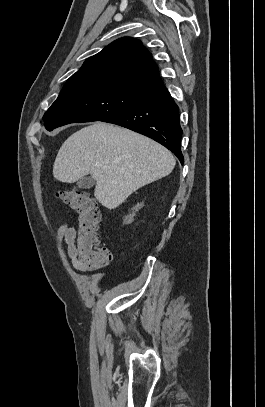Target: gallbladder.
Wrapping results in <instances>:
<instances>
[{
	"label": "gallbladder",
	"instance_id": "obj_1",
	"mask_svg": "<svg viewBox=\"0 0 265 407\" xmlns=\"http://www.w3.org/2000/svg\"><path fill=\"white\" fill-rule=\"evenodd\" d=\"M78 187L81 189H90L95 185V180L90 177V176H86L81 178L78 183H77Z\"/></svg>",
	"mask_w": 265,
	"mask_h": 407
}]
</instances>
